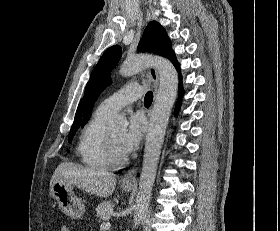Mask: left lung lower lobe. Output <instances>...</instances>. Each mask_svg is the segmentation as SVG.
I'll list each match as a JSON object with an SVG mask.
<instances>
[{"label": "left lung lower lobe", "instance_id": "1", "mask_svg": "<svg viewBox=\"0 0 280 231\" xmlns=\"http://www.w3.org/2000/svg\"><path fill=\"white\" fill-rule=\"evenodd\" d=\"M182 95H183V90H182V88L180 86L179 97H181ZM180 104H181V100L179 98L178 101H177V104H176V110L179 108Z\"/></svg>", "mask_w": 280, "mask_h": 231}]
</instances>
